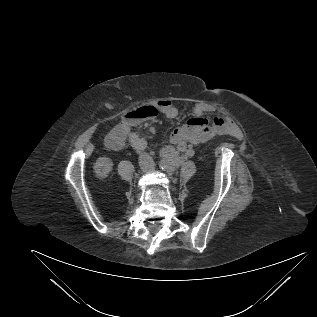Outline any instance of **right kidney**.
Returning <instances> with one entry per match:
<instances>
[{
	"mask_svg": "<svg viewBox=\"0 0 317 317\" xmlns=\"http://www.w3.org/2000/svg\"><path fill=\"white\" fill-rule=\"evenodd\" d=\"M93 169L97 177L106 178L113 169V162L108 157H99L94 163Z\"/></svg>",
	"mask_w": 317,
	"mask_h": 317,
	"instance_id": "ca27d5eb",
	"label": "right kidney"
}]
</instances>
